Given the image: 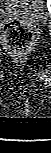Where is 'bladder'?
<instances>
[{"instance_id":"bladder-1","label":"bladder","mask_w":51,"mask_h":153,"mask_svg":"<svg viewBox=\"0 0 51 153\" xmlns=\"http://www.w3.org/2000/svg\"><path fill=\"white\" fill-rule=\"evenodd\" d=\"M6 12L32 22L42 21L47 14L44 0H6Z\"/></svg>"}]
</instances>
